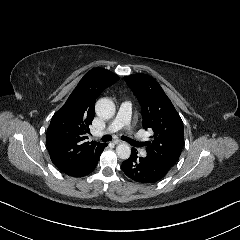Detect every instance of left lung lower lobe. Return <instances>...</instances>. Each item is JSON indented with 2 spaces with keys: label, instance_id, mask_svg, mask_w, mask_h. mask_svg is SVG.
I'll use <instances>...</instances> for the list:
<instances>
[{
  "label": "left lung lower lobe",
  "instance_id": "1",
  "mask_svg": "<svg viewBox=\"0 0 240 240\" xmlns=\"http://www.w3.org/2000/svg\"><path fill=\"white\" fill-rule=\"evenodd\" d=\"M121 168L126 176L142 184L155 183L161 180L171 169V167L155 161L149 155L139 157L135 148H132L130 158L122 163Z\"/></svg>",
  "mask_w": 240,
  "mask_h": 240
}]
</instances>
